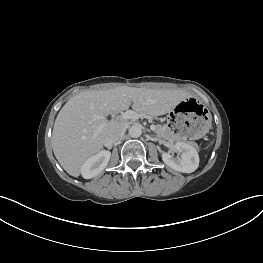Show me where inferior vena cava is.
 I'll return each mask as SVG.
<instances>
[{"instance_id":"1","label":"inferior vena cava","mask_w":263,"mask_h":263,"mask_svg":"<svg viewBox=\"0 0 263 263\" xmlns=\"http://www.w3.org/2000/svg\"><path fill=\"white\" fill-rule=\"evenodd\" d=\"M122 132H123V129L121 128H116V129H113L107 136L106 140H105V143L107 144H113V143H116L121 135H122Z\"/></svg>"}]
</instances>
